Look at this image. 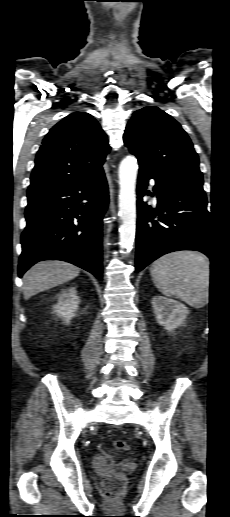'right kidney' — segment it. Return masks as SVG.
I'll return each instance as SVG.
<instances>
[{
    "label": "right kidney",
    "mask_w": 230,
    "mask_h": 517,
    "mask_svg": "<svg viewBox=\"0 0 230 517\" xmlns=\"http://www.w3.org/2000/svg\"><path fill=\"white\" fill-rule=\"evenodd\" d=\"M79 297L74 287L61 291L58 295V303L54 306L53 312L62 318L65 323L75 317V311L78 308Z\"/></svg>",
    "instance_id": "ca27d5eb"
}]
</instances>
